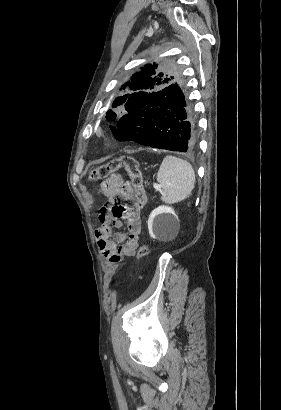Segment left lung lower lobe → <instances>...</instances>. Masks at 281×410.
Returning <instances> with one entry per match:
<instances>
[{"instance_id":"0a47b994","label":"left lung lower lobe","mask_w":281,"mask_h":410,"mask_svg":"<svg viewBox=\"0 0 281 410\" xmlns=\"http://www.w3.org/2000/svg\"><path fill=\"white\" fill-rule=\"evenodd\" d=\"M112 131L120 141L152 148L193 152L198 145L196 119L181 82L156 92L142 110L122 116Z\"/></svg>"}]
</instances>
